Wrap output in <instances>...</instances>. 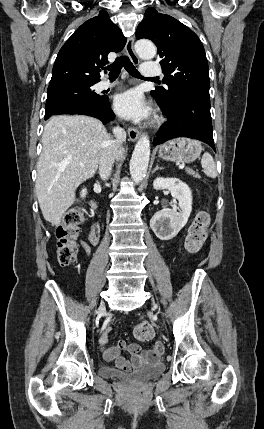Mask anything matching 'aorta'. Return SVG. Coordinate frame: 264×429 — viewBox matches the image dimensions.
<instances>
[{
  "mask_svg": "<svg viewBox=\"0 0 264 429\" xmlns=\"http://www.w3.org/2000/svg\"><path fill=\"white\" fill-rule=\"evenodd\" d=\"M135 50L138 56L145 60L152 59L156 55V47L149 40H138L135 43ZM149 158L150 140L147 135L143 134L137 141L130 160V174L136 184L144 179L148 169Z\"/></svg>",
  "mask_w": 264,
  "mask_h": 429,
  "instance_id": "762f6f07",
  "label": "aorta"
}]
</instances>
